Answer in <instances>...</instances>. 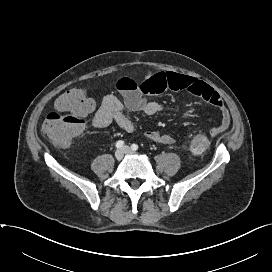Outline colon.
Segmentation results:
<instances>
[{"mask_svg":"<svg viewBox=\"0 0 272 272\" xmlns=\"http://www.w3.org/2000/svg\"><path fill=\"white\" fill-rule=\"evenodd\" d=\"M55 108V112L47 115L43 132L53 144L67 146L82 132L84 119L94 108V102L87 96L84 88L73 87L57 98ZM208 145L209 139L200 134L192 139L190 149L193 153L200 154Z\"/></svg>","mask_w":272,"mask_h":272,"instance_id":"1","label":"colon"}]
</instances>
